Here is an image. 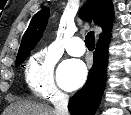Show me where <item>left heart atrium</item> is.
Here are the masks:
<instances>
[{
  "mask_svg": "<svg viewBox=\"0 0 131 115\" xmlns=\"http://www.w3.org/2000/svg\"><path fill=\"white\" fill-rule=\"evenodd\" d=\"M86 76V66L79 60H67L61 64L58 70L59 84L69 91L80 87Z\"/></svg>",
  "mask_w": 131,
  "mask_h": 115,
  "instance_id": "left-heart-atrium-1",
  "label": "left heart atrium"
}]
</instances>
